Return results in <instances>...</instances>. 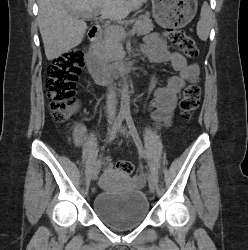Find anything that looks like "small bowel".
<instances>
[{
    "label": "small bowel",
    "instance_id": "obj_1",
    "mask_svg": "<svg viewBox=\"0 0 248 250\" xmlns=\"http://www.w3.org/2000/svg\"><path fill=\"white\" fill-rule=\"evenodd\" d=\"M141 52L152 63L169 62L178 72L177 76L168 78L163 87L154 91V97L149 102V109L157 124L170 126L174 110L177 105L178 95L185 84L198 78L199 67L196 63L189 62L179 51L168 49L166 40L158 33H151L145 38ZM73 139L77 146H82L86 141V128L82 123L73 126ZM110 169L105 172V177Z\"/></svg>",
    "mask_w": 248,
    "mask_h": 250
}]
</instances>
